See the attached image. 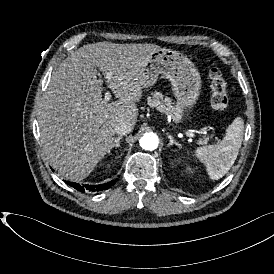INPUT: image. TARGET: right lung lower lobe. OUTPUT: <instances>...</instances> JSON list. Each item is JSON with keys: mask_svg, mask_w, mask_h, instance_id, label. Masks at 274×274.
<instances>
[{"mask_svg": "<svg viewBox=\"0 0 274 274\" xmlns=\"http://www.w3.org/2000/svg\"><path fill=\"white\" fill-rule=\"evenodd\" d=\"M68 185H70L71 187L75 188L78 191L81 192H85L86 190H89L91 192H98L101 190H107L108 188H110L111 186H113L115 184V181L112 180L106 184H101V185H85V186H81L78 183H73V182H69V181H65Z\"/></svg>", "mask_w": 274, "mask_h": 274, "instance_id": "1", "label": "right lung lower lobe"}]
</instances>
